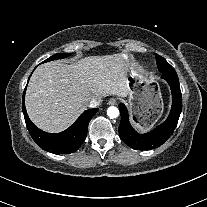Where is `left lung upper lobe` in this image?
Here are the masks:
<instances>
[{"label": "left lung upper lobe", "mask_w": 207, "mask_h": 207, "mask_svg": "<svg viewBox=\"0 0 207 207\" xmlns=\"http://www.w3.org/2000/svg\"><path fill=\"white\" fill-rule=\"evenodd\" d=\"M156 62L159 71L162 73L174 70V68L163 57L159 56L158 54H156Z\"/></svg>", "instance_id": "5c2ea615"}]
</instances>
